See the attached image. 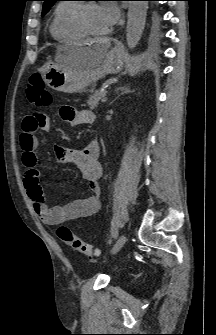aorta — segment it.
I'll return each instance as SVG.
<instances>
[{
    "label": "aorta",
    "mask_w": 216,
    "mask_h": 335,
    "mask_svg": "<svg viewBox=\"0 0 216 335\" xmlns=\"http://www.w3.org/2000/svg\"><path fill=\"white\" fill-rule=\"evenodd\" d=\"M148 4L146 1H131L128 9L126 41L130 49L136 47L143 34Z\"/></svg>",
    "instance_id": "1"
}]
</instances>
